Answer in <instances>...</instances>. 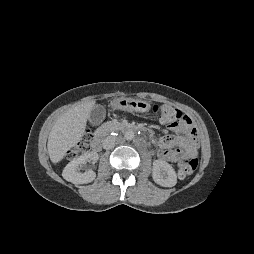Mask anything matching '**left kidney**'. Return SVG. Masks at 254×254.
I'll list each match as a JSON object with an SVG mask.
<instances>
[{"label": "left kidney", "instance_id": "5707ae66", "mask_svg": "<svg viewBox=\"0 0 254 254\" xmlns=\"http://www.w3.org/2000/svg\"><path fill=\"white\" fill-rule=\"evenodd\" d=\"M152 177L155 183L163 187H173L177 183L174 168L162 160H155L153 162Z\"/></svg>", "mask_w": 254, "mask_h": 254}]
</instances>
